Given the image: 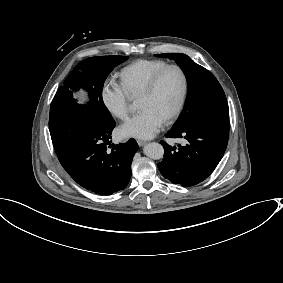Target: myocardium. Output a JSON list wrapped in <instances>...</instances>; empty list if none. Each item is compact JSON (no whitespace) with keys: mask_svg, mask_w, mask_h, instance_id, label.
Segmentation results:
<instances>
[{"mask_svg":"<svg viewBox=\"0 0 283 283\" xmlns=\"http://www.w3.org/2000/svg\"><path fill=\"white\" fill-rule=\"evenodd\" d=\"M171 69H175L179 72L181 76V80H182V88H181V92H180V95H179V98L177 100L175 107L165 117V120L167 121L175 118L181 112L185 99H186V95L188 91V78H187L186 72L181 66L177 64H168L164 66L147 81L144 88L139 94V96H147V95L152 94L155 91L159 81L164 76V74Z\"/></svg>","mask_w":283,"mask_h":283,"instance_id":"obj_1","label":"myocardium"}]
</instances>
